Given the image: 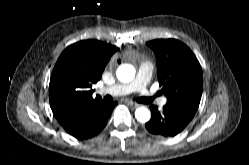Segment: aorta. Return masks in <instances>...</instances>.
<instances>
[{
	"instance_id": "1",
	"label": "aorta",
	"mask_w": 249,
	"mask_h": 165,
	"mask_svg": "<svg viewBox=\"0 0 249 165\" xmlns=\"http://www.w3.org/2000/svg\"><path fill=\"white\" fill-rule=\"evenodd\" d=\"M135 75L134 68L130 65H121L116 71L118 80L122 83H128L133 80ZM137 121L145 123L150 120V111L145 107H139L135 111Z\"/></svg>"
}]
</instances>
